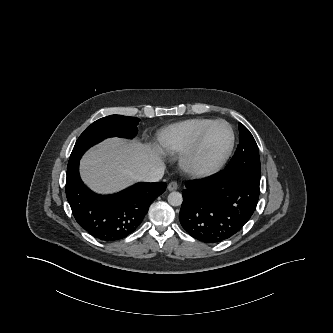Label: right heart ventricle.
<instances>
[{
  "mask_svg": "<svg viewBox=\"0 0 333 333\" xmlns=\"http://www.w3.org/2000/svg\"><path fill=\"white\" fill-rule=\"evenodd\" d=\"M212 121L214 120L210 118L198 117L174 123L159 132V144L168 152H184L194 144L203 129Z\"/></svg>",
  "mask_w": 333,
  "mask_h": 333,
  "instance_id": "obj_1",
  "label": "right heart ventricle"
}]
</instances>
